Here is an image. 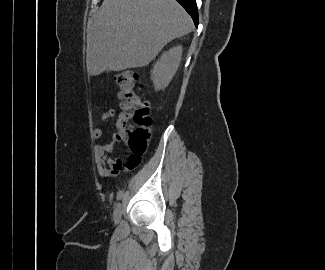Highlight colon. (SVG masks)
<instances>
[{
	"label": "colon",
	"mask_w": 325,
	"mask_h": 270,
	"mask_svg": "<svg viewBox=\"0 0 325 270\" xmlns=\"http://www.w3.org/2000/svg\"><path fill=\"white\" fill-rule=\"evenodd\" d=\"M115 81L120 89L122 109L116 139L128 147L130 154L126 166L133 169L140 164L148 146L152 123L150 107L137 93L138 73L135 70L127 69L119 73Z\"/></svg>",
	"instance_id": "colon-1"
}]
</instances>
